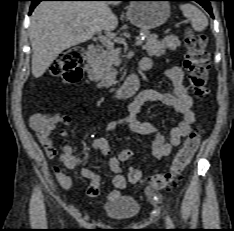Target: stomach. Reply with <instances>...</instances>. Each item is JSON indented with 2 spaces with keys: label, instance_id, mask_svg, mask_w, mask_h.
Instances as JSON below:
<instances>
[{
  "label": "stomach",
  "instance_id": "obj_1",
  "mask_svg": "<svg viewBox=\"0 0 234 231\" xmlns=\"http://www.w3.org/2000/svg\"><path fill=\"white\" fill-rule=\"evenodd\" d=\"M170 16V4L163 0L131 2L127 10L128 20L142 31L163 25Z\"/></svg>",
  "mask_w": 234,
  "mask_h": 231
}]
</instances>
